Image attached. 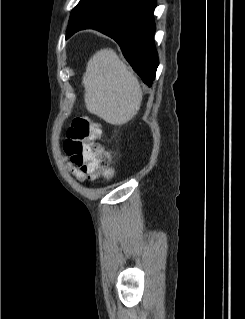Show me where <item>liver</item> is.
<instances>
[{
  "label": "liver",
  "instance_id": "obj_1",
  "mask_svg": "<svg viewBox=\"0 0 245 319\" xmlns=\"http://www.w3.org/2000/svg\"><path fill=\"white\" fill-rule=\"evenodd\" d=\"M82 83L87 111L109 124L123 125L140 109L139 82L113 49H101L89 59Z\"/></svg>",
  "mask_w": 245,
  "mask_h": 319
}]
</instances>
